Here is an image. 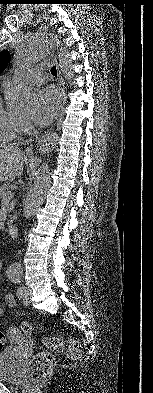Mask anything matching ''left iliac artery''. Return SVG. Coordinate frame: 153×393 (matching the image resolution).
<instances>
[{
	"label": "left iliac artery",
	"instance_id": "left-iliac-artery-1",
	"mask_svg": "<svg viewBox=\"0 0 153 393\" xmlns=\"http://www.w3.org/2000/svg\"><path fill=\"white\" fill-rule=\"evenodd\" d=\"M7 276L11 280V282H13V283H20V281H21V275L20 274L7 273ZM23 288H24L23 286L18 288V290H17L18 296L22 294Z\"/></svg>",
	"mask_w": 153,
	"mask_h": 393
}]
</instances>
